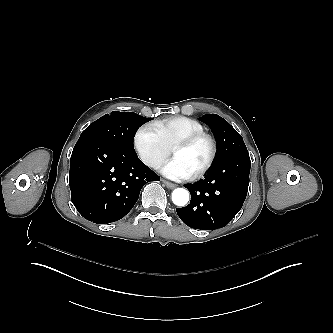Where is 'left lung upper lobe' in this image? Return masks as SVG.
I'll use <instances>...</instances> for the list:
<instances>
[{
	"instance_id": "obj_1",
	"label": "left lung upper lobe",
	"mask_w": 333,
	"mask_h": 333,
	"mask_svg": "<svg viewBox=\"0 0 333 333\" xmlns=\"http://www.w3.org/2000/svg\"><path fill=\"white\" fill-rule=\"evenodd\" d=\"M200 120L211 128L217 142L214 165L232 155L248 152L241 135L222 117L210 114L203 115Z\"/></svg>"
}]
</instances>
